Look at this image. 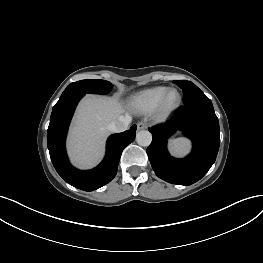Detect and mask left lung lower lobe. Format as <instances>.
Instances as JSON below:
<instances>
[{
    "label": "left lung lower lobe",
    "instance_id": "0a47b994",
    "mask_svg": "<svg viewBox=\"0 0 263 263\" xmlns=\"http://www.w3.org/2000/svg\"><path fill=\"white\" fill-rule=\"evenodd\" d=\"M176 130L184 131L193 142L192 152L183 159L171 157L167 138ZM152 142L148 158L156 175L172 184L191 185L200 180L215 162L219 144V121L211 100L200 97L185 106L167 123L149 128Z\"/></svg>",
    "mask_w": 263,
    "mask_h": 263
}]
</instances>
